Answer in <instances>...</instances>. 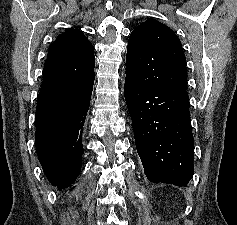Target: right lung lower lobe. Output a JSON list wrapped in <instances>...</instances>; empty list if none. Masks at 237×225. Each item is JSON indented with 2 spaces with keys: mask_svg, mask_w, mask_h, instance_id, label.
Returning <instances> with one entry per match:
<instances>
[{
  "mask_svg": "<svg viewBox=\"0 0 237 225\" xmlns=\"http://www.w3.org/2000/svg\"><path fill=\"white\" fill-rule=\"evenodd\" d=\"M93 83L37 96L35 147L44 174L59 190L70 186L81 170V137Z\"/></svg>",
  "mask_w": 237,
  "mask_h": 225,
  "instance_id": "1",
  "label": "right lung lower lobe"
}]
</instances>
